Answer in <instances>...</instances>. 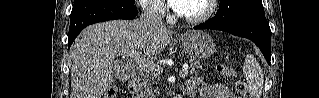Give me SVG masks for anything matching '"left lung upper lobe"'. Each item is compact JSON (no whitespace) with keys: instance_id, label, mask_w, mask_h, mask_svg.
I'll return each instance as SVG.
<instances>
[{"instance_id":"1","label":"left lung upper lobe","mask_w":319,"mask_h":98,"mask_svg":"<svg viewBox=\"0 0 319 98\" xmlns=\"http://www.w3.org/2000/svg\"><path fill=\"white\" fill-rule=\"evenodd\" d=\"M264 14L261 0H220L216 15L206 24H231Z\"/></svg>"}]
</instances>
